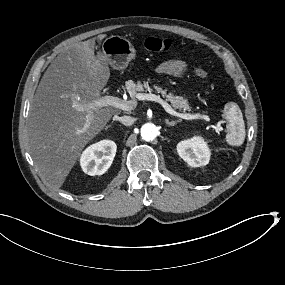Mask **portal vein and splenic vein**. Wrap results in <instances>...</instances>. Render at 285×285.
Segmentation results:
<instances>
[{"label": "portal vein and splenic vein", "mask_w": 285, "mask_h": 285, "mask_svg": "<svg viewBox=\"0 0 285 285\" xmlns=\"http://www.w3.org/2000/svg\"><path fill=\"white\" fill-rule=\"evenodd\" d=\"M135 97L138 100L155 101V102L161 104L167 113H169L173 116H177V117L182 118V119H186V120L204 119L206 121H210L209 117L206 115L178 113L166 101H164L162 98H160V96L155 95V94L137 93L135 95ZM135 105H136L135 101H132V100L126 101V100H122L118 97L109 96V95L97 98V99L92 100L91 102H89L87 104L81 105L79 107V110L87 112V115H86V122H85L83 128L80 130V133L86 132L87 129L89 128L91 121L93 119V110H96L98 108H103L106 106H112V107L119 108V109H122L125 111H130L134 108Z\"/></svg>", "instance_id": "1"}]
</instances>
